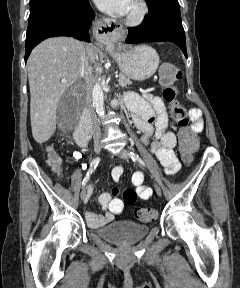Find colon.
Returning <instances> with one entry per match:
<instances>
[{
  "instance_id": "1",
  "label": "colon",
  "mask_w": 240,
  "mask_h": 288,
  "mask_svg": "<svg viewBox=\"0 0 240 288\" xmlns=\"http://www.w3.org/2000/svg\"><path fill=\"white\" fill-rule=\"evenodd\" d=\"M180 73L172 64H163L160 68V83L162 86V94L166 101L170 104V113L173 120L179 126V147L182 158L185 162H190L197 149V137L189 126V118L186 110L177 101L178 91L175 86L179 79ZM48 166L57 174L61 173L62 159L52 149L48 151ZM123 199L126 204L132 205L137 199V194L132 189H127L123 193ZM135 217L144 222L155 220L157 213L150 208L137 207L134 210Z\"/></svg>"
}]
</instances>
